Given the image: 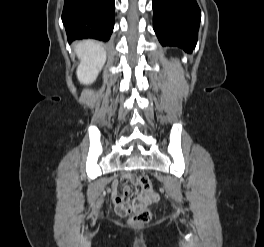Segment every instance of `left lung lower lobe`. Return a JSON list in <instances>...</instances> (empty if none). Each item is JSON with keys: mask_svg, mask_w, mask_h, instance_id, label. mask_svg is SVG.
<instances>
[{"mask_svg": "<svg viewBox=\"0 0 264 247\" xmlns=\"http://www.w3.org/2000/svg\"><path fill=\"white\" fill-rule=\"evenodd\" d=\"M153 11V28L161 45L191 53L201 20L196 0H153Z\"/></svg>", "mask_w": 264, "mask_h": 247, "instance_id": "0a47b994", "label": "left lung lower lobe"}]
</instances>
